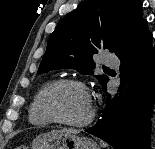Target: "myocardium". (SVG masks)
Segmentation results:
<instances>
[{"instance_id":"obj_1","label":"myocardium","mask_w":155,"mask_h":149,"mask_svg":"<svg viewBox=\"0 0 155 149\" xmlns=\"http://www.w3.org/2000/svg\"><path fill=\"white\" fill-rule=\"evenodd\" d=\"M64 85H73L77 86L86 94L88 97L89 103H90V112L87 115V117L81 121H69L66 119H63L60 117L51 107L50 104V95L56 88ZM41 110L43 113L53 122L65 125V126H71V127H83L88 124H90L96 115V107L93 103V100L91 98L90 91L87 87V85L80 79L75 78H60L56 79L54 81H51L43 90L41 95V101H40Z\"/></svg>"}]
</instances>
